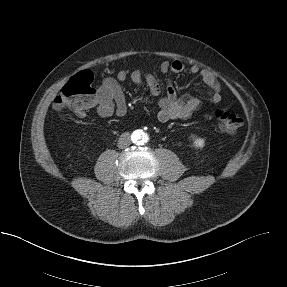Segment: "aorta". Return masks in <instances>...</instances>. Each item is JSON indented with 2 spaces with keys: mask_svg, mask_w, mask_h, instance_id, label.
<instances>
[{
  "mask_svg": "<svg viewBox=\"0 0 287 287\" xmlns=\"http://www.w3.org/2000/svg\"><path fill=\"white\" fill-rule=\"evenodd\" d=\"M132 138L139 143H146L148 140V135L142 130H136L132 134Z\"/></svg>",
  "mask_w": 287,
  "mask_h": 287,
  "instance_id": "obj_1",
  "label": "aorta"
}]
</instances>
